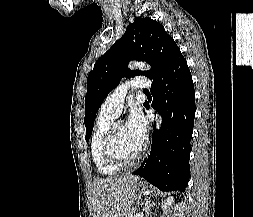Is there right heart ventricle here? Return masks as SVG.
<instances>
[{"label":"right heart ventricle","mask_w":253,"mask_h":217,"mask_svg":"<svg viewBox=\"0 0 253 217\" xmlns=\"http://www.w3.org/2000/svg\"><path fill=\"white\" fill-rule=\"evenodd\" d=\"M115 118V115L100 111L90 143L91 156L97 171L108 176L115 175L120 170V167L108 163L103 154V142Z\"/></svg>","instance_id":"1"}]
</instances>
